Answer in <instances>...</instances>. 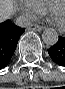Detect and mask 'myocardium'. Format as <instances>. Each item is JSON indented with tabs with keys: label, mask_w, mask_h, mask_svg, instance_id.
Listing matches in <instances>:
<instances>
[{
	"label": "myocardium",
	"mask_w": 65,
	"mask_h": 89,
	"mask_svg": "<svg viewBox=\"0 0 65 89\" xmlns=\"http://www.w3.org/2000/svg\"><path fill=\"white\" fill-rule=\"evenodd\" d=\"M60 5H65V4L60 2H54L53 4H51V6L48 9V14H49L50 21L59 29L64 30L65 21L63 23H60L55 17L56 10L59 8Z\"/></svg>",
	"instance_id": "1"
}]
</instances>
